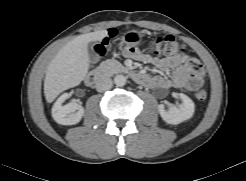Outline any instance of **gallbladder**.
Instances as JSON below:
<instances>
[{"mask_svg": "<svg viewBox=\"0 0 246 181\" xmlns=\"http://www.w3.org/2000/svg\"><path fill=\"white\" fill-rule=\"evenodd\" d=\"M95 45L93 43L89 44V56L92 62H97L99 60V55L95 52Z\"/></svg>", "mask_w": 246, "mask_h": 181, "instance_id": "1", "label": "gallbladder"}]
</instances>
